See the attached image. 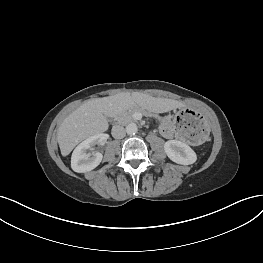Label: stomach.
I'll list each match as a JSON object with an SVG mask.
<instances>
[{
  "instance_id": "0dacf381",
  "label": "stomach",
  "mask_w": 263,
  "mask_h": 263,
  "mask_svg": "<svg viewBox=\"0 0 263 263\" xmlns=\"http://www.w3.org/2000/svg\"><path fill=\"white\" fill-rule=\"evenodd\" d=\"M173 126L182 139L192 145L203 144L211 134L208 121L191 108L179 110L174 116Z\"/></svg>"
}]
</instances>
